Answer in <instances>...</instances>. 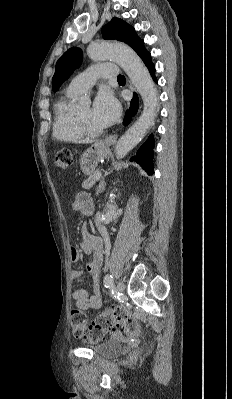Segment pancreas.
<instances>
[{
  "instance_id": "cf45deb5",
  "label": "pancreas",
  "mask_w": 232,
  "mask_h": 399,
  "mask_svg": "<svg viewBox=\"0 0 232 399\" xmlns=\"http://www.w3.org/2000/svg\"><path fill=\"white\" fill-rule=\"evenodd\" d=\"M97 172H99V170H96V172H93V174H90L88 180H85V182H83L82 188H84V190H90V188H92V186H94V184H96Z\"/></svg>"
}]
</instances>
